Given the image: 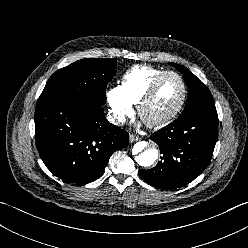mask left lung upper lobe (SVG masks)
Instances as JSON below:
<instances>
[{"mask_svg": "<svg viewBox=\"0 0 248 248\" xmlns=\"http://www.w3.org/2000/svg\"><path fill=\"white\" fill-rule=\"evenodd\" d=\"M170 64L183 74V79L188 86L186 106L178 118L216 109L210 90L190 70L176 63Z\"/></svg>", "mask_w": 248, "mask_h": 248, "instance_id": "obj_1", "label": "left lung upper lobe"}]
</instances>
